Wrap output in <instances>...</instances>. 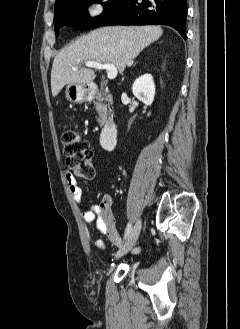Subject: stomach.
Masks as SVG:
<instances>
[{
	"label": "stomach",
	"instance_id": "stomach-1",
	"mask_svg": "<svg viewBox=\"0 0 240 329\" xmlns=\"http://www.w3.org/2000/svg\"><path fill=\"white\" fill-rule=\"evenodd\" d=\"M66 98L72 103H81L87 99L88 89L86 85L68 84L66 87Z\"/></svg>",
	"mask_w": 240,
	"mask_h": 329
}]
</instances>
